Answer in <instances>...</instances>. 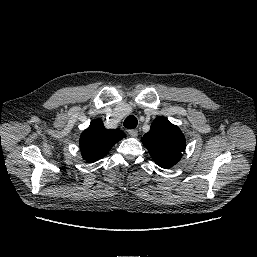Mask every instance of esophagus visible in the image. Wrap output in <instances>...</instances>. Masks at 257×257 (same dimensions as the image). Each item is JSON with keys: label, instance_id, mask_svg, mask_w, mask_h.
Listing matches in <instances>:
<instances>
[{"label": "esophagus", "instance_id": "esophagus-1", "mask_svg": "<svg viewBox=\"0 0 257 257\" xmlns=\"http://www.w3.org/2000/svg\"><path fill=\"white\" fill-rule=\"evenodd\" d=\"M128 133L131 137H136L138 135V130L136 129H131V130H128Z\"/></svg>", "mask_w": 257, "mask_h": 257}]
</instances>
